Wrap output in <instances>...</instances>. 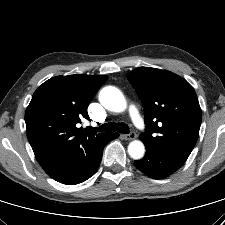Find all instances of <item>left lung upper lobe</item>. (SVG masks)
I'll return each mask as SVG.
<instances>
[{"mask_svg": "<svg viewBox=\"0 0 225 225\" xmlns=\"http://www.w3.org/2000/svg\"><path fill=\"white\" fill-rule=\"evenodd\" d=\"M144 105L145 145L186 161L199 135L202 113L192 86L166 70L139 67L127 76Z\"/></svg>", "mask_w": 225, "mask_h": 225, "instance_id": "left-lung-upper-lobe-1", "label": "left lung upper lobe"}]
</instances>
